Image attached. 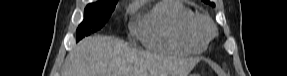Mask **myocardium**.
Here are the masks:
<instances>
[{
	"mask_svg": "<svg viewBox=\"0 0 287 76\" xmlns=\"http://www.w3.org/2000/svg\"><path fill=\"white\" fill-rule=\"evenodd\" d=\"M195 31L200 38L208 41L214 35L215 28L209 18L205 16H199L195 22Z\"/></svg>",
	"mask_w": 287,
	"mask_h": 76,
	"instance_id": "obj_1",
	"label": "myocardium"
}]
</instances>
